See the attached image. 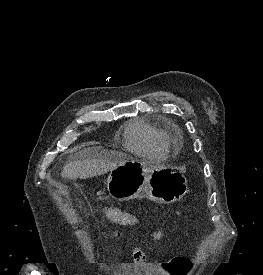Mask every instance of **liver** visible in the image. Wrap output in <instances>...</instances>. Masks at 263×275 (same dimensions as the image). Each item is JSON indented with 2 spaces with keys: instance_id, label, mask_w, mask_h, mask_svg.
Returning a JSON list of instances; mask_svg holds the SVG:
<instances>
[{
  "instance_id": "liver-1",
  "label": "liver",
  "mask_w": 263,
  "mask_h": 275,
  "mask_svg": "<svg viewBox=\"0 0 263 275\" xmlns=\"http://www.w3.org/2000/svg\"><path fill=\"white\" fill-rule=\"evenodd\" d=\"M122 152H101L97 157L90 155V150L84 151L73 161L67 163L61 175L68 179H87L111 171L119 164L130 159Z\"/></svg>"
}]
</instances>
